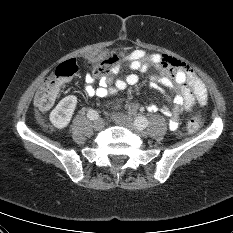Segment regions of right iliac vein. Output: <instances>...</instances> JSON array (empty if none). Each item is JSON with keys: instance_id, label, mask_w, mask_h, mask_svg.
Masks as SVG:
<instances>
[{"instance_id": "right-iliac-vein-1", "label": "right iliac vein", "mask_w": 233, "mask_h": 233, "mask_svg": "<svg viewBox=\"0 0 233 233\" xmlns=\"http://www.w3.org/2000/svg\"><path fill=\"white\" fill-rule=\"evenodd\" d=\"M104 125V121L99 118L94 121L93 127L95 130H102L104 128Z\"/></svg>"}]
</instances>
